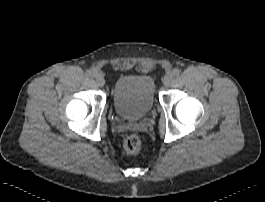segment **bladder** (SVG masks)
Instances as JSON below:
<instances>
[{
  "label": "bladder",
  "instance_id": "1",
  "mask_svg": "<svg viewBox=\"0 0 265 202\" xmlns=\"http://www.w3.org/2000/svg\"><path fill=\"white\" fill-rule=\"evenodd\" d=\"M156 101L154 79L148 75L119 77L114 85L112 102L117 115L136 120L149 113Z\"/></svg>",
  "mask_w": 265,
  "mask_h": 202
}]
</instances>
